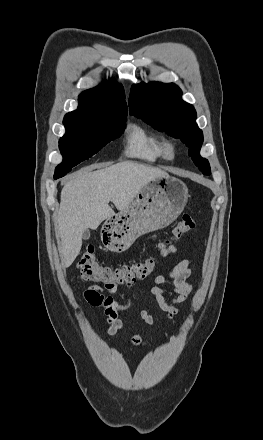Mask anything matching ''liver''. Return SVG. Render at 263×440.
Returning <instances> with one entry per match:
<instances>
[{
    "label": "liver",
    "instance_id": "obj_1",
    "mask_svg": "<svg viewBox=\"0 0 263 440\" xmlns=\"http://www.w3.org/2000/svg\"><path fill=\"white\" fill-rule=\"evenodd\" d=\"M164 176H168L167 172L159 168L132 161L76 173L61 191L56 225L63 265L69 267L78 256L86 229L95 230L102 221L115 215L110 201L122 211L144 185Z\"/></svg>",
    "mask_w": 263,
    "mask_h": 440
}]
</instances>
